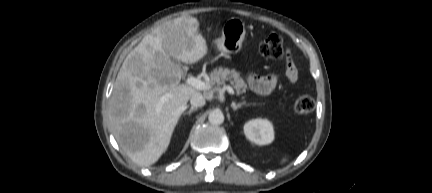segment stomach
I'll return each mask as SVG.
<instances>
[{
	"label": "stomach",
	"instance_id": "1",
	"mask_svg": "<svg viewBox=\"0 0 432 193\" xmlns=\"http://www.w3.org/2000/svg\"><path fill=\"white\" fill-rule=\"evenodd\" d=\"M245 24L236 18L229 19L222 28V36L214 41L217 49L224 53H236L245 40Z\"/></svg>",
	"mask_w": 432,
	"mask_h": 193
}]
</instances>
